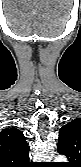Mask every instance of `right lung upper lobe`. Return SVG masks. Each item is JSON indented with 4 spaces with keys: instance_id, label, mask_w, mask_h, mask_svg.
I'll return each instance as SVG.
<instances>
[{
    "instance_id": "cb5924a9",
    "label": "right lung upper lobe",
    "mask_w": 81,
    "mask_h": 167,
    "mask_svg": "<svg viewBox=\"0 0 81 167\" xmlns=\"http://www.w3.org/2000/svg\"><path fill=\"white\" fill-rule=\"evenodd\" d=\"M28 145L21 131L7 128L0 132V167H28Z\"/></svg>"
}]
</instances>
